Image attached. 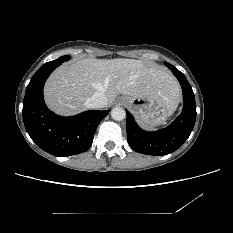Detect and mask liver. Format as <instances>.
I'll return each instance as SVG.
<instances>
[{"mask_svg":"<svg viewBox=\"0 0 233 233\" xmlns=\"http://www.w3.org/2000/svg\"><path fill=\"white\" fill-rule=\"evenodd\" d=\"M96 92L105 94L107 104L116 96L158 98L172 107L180 101V87L167 70L134 59L85 58L57 68L44 88L47 106L63 116L75 115L87 107Z\"/></svg>","mask_w":233,"mask_h":233,"instance_id":"1","label":"liver"}]
</instances>
